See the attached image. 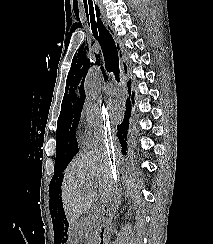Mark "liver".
Here are the masks:
<instances>
[{
	"mask_svg": "<svg viewBox=\"0 0 213 244\" xmlns=\"http://www.w3.org/2000/svg\"><path fill=\"white\" fill-rule=\"evenodd\" d=\"M121 156L117 154L115 163L120 167ZM112 159L105 148L81 153L68 165L64 172L61 196L65 215L69 224L74 225L85 211L90 209L97 198L104 203L115 188L112 179ZM99 187V194L93 185Z\"/></svg>",
	"mask_w": 213,
	"mask_h": 244,
	"instance_id": "liver-1",
	"label": "liver"
}]
</instances>
